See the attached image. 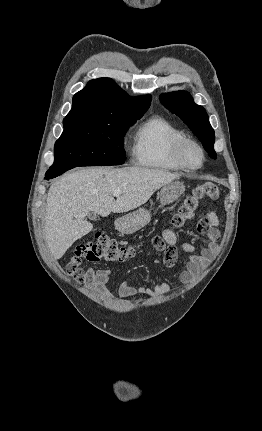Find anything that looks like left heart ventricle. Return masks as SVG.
<instances>
[{
    "mask_svg": "<svg viewBox=\"0 0 262 431\" xmlns=\"http://www.w3.org/2000/svg\"><path fill=\"white\" fill-rule=\"evenodd\" d=\"M186 162L190 166H197L200 163V155L194 149H189L185 156Z\"/></svg>",
    "mask_w": 262,
    "mask_h": 431,
    "instance_id": "obj_1",
    "label": "left heart ventricle"
}]
</instances>
